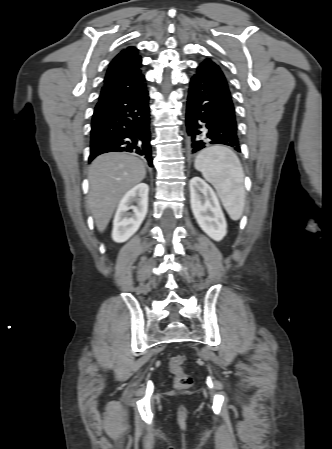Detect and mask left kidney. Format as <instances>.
Returning <instances> with one entry per match:
<instances>
[{"label":"left kidney","mask_w":332,"mask_h":449,"mask_svg":"<svg viewBox=\"0 0 332 449\" xmlns=\"http://www.w3.org/2000/svg\"><path fill=\"white\" fill-rule=\"evenodd\" d=\"M190 203L200 228L213 240L221 241L227 234V223L213 189L200 177L189 183Z\"/></svg>","instance_id":"1"}]
</instances>
